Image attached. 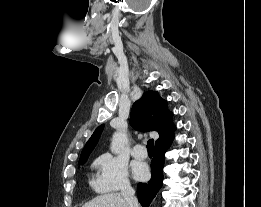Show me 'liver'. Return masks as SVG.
<instances>
[{
  "instance_id": "liver-1",
  "label": "liver",
  "mask_w": 261,
  "mask_h": 207,
  "mask_svg": "<svg viewBox=\"0 0 261 207\" xmlns=\"http://www.w3.org/2000/svg\"><path fill=\"white\" fill-rule=\"evenodd\" d=\"M82 207H129L120 193H110L95 197Z\"/></svg>"
}]
</instances>
